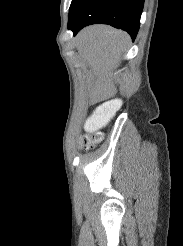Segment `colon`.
<instances>
[{
	"label": "colon",
	"instance_id": "5ec220e1",
	"mask_svg": "<svg viewBox=\"0 0 183 246\" xmlns=\"http://www.w3.org/2000/svg\"><path fill=\"white\" fill-rule=\"evenodd\" d=\"M95 142H96V139L87 140V141H85V145H86V146H91V145L94 144Z\"/></svg>",
	"mask_w": 183,
	"mask_h": 246
}]
</instances>
